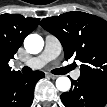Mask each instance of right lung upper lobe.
Here are the masks:
<instances>
[{
  "mask_svg": "<svg viewBox=\"0 0 107 107\" xmlns=\"http://www.w3.org/2000/svg\"><path fill=\"white\" fill-rule=\"evenodd\" d=\"M39 20L19 14L0 15V77L16 72L11 71L8 62L14 58L24 38L38 26Z\"/></svg>",
  "mask_w": 107,
  "mask_h": 107,
  "instance_id": "cb5924a9",
  "label": "right lung upper lobe"
}]
</instances>
